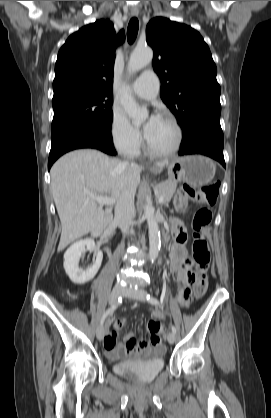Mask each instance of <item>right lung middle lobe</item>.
I'll return each mask as SVG.
<instances>
[{
  "mask_svg": "<svg viewBox=\"0 0 271 418\" xmlns=\"http://www.w3.org/2000/svg\"><path fill=\"white\" fill-rule=\"evenodd\" d=\"M112 103V95L108 94L73 95L52 101V134L87 124H101L111 128Z\"/></svg>",
  "mask_w": 271,
  "mask_h": 418,
  "instance_id": "right-lung-middle-lobe-1",
  "label": "right lung middle lobe"
}]
</instances>
